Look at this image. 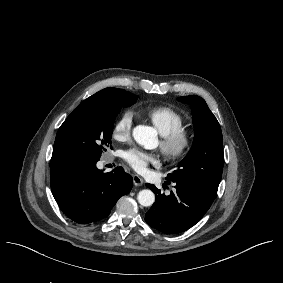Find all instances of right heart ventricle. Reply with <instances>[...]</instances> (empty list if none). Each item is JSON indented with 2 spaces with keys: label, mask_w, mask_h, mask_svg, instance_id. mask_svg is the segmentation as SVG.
<instances>
[{
  "label": "right heart ventricle",
  "mask_w": 283,
  "mask_h": 283,
  "mask_svg": "<svg viewBox=\"0 0 283 283\" xmlns=\"http://www.w3.org/2000/svg\"><path fill=\"white\" fill-rule=\"evenodd\" d=\"M143 116L161 136H165L185 124V119L180 113L166 106L148 109L143 112Z\"/></svg>",
  "instance_id": "e07e8e85"
}]
</instances>
